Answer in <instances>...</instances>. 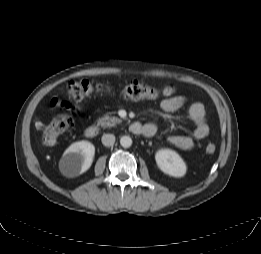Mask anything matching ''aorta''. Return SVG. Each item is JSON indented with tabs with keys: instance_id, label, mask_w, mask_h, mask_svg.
I'll return each mask as SVG.
<instances>
[{
	"instance_id": "obj_1",
	"label": "aorta",
	"mask_w": 261,
	"mask_h": 254,
	"mask_svg": "<svg viewBox=\"0 0 261 254\" xmlns=\"http://www.w3.org/2000/svg\"><path fill=\"white\" fill-rule=\"evenodd\" d=\"M120 144L124 148H129L132 145V139L129 136H122Z\"/></svg>"
}]
</instances>
